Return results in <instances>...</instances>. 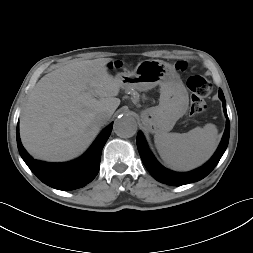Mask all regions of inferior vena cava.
Listing matches in <instances>:
<instances>
[{"label":"inferior vena cava","instance_id":"1","mask_svg":"<svg viewBox=\"0 0 253 253\" xmlns=\"http://www.w3.org/2000/svg\"><path fill=\"white\" fill-rule=\"evenodd\" d=\"M109 119V114L107 113H99L95 117V122L99 125H104Z\"/></svg>","mask_w":253,"mask_h":253}]
</instances>
